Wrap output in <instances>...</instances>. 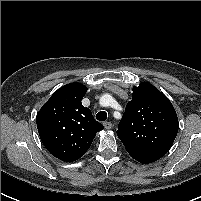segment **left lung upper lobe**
I'll return each instance as SVG.
<instances>
[{
    "instance_id": "left-lung-upper-lobe-1",
    "label": "left lung upper lobe",
    "mask_w": 201,
    "mask_h": 201,
    "mask_svg": "<svg viewBox=\"0 0 201 201\" xmlns=\"http://www.w3.org/2000/svg\"><path fill=\"white\" fill-rule=\"evenodd\" d=\"M179 128L170 100L150 83L133 88L118 125L117 135L135 160L148 164L171 148Z\"/></svg>"
}]
</instances>
